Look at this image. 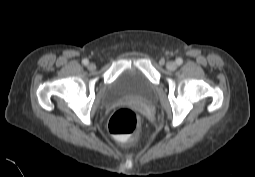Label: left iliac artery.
Segmentation results:
<instances>
[{
    "label": "left iliac artery",
    "mask_w": 255,
    "mask_h": 177,
    "mask_svg": "<svg viewBox=\"0 0 255 177\" xmlns=\"http://www.w3.org/2000/svg\"><path fill=\"white\" fill-rule=\"evenodd\" d=\"M176 63H177L178 65H181V64L183 63V60H182L181 58H178V59L176 60Z\"/></svg>",
    "instance_id": "left-iliac-artery-1"
}]
</instances>
